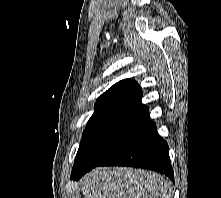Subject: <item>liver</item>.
Instances as JSON below:
<instances>
[{"instance_id":"liver-1","label":"liver","mask_w":221,"mask_h":198,"mask_svg":"<svg viewBox=\"0 0 221 198\" xmlns=\"http://www.w3.org/2000/svg\"><path fill=\"white\" fill-rule=\"evenodd\" d=\"M81 189L85 198H172L167 178L126 167L95 168L85 175Z\"/></svg>"}]
</instances>
